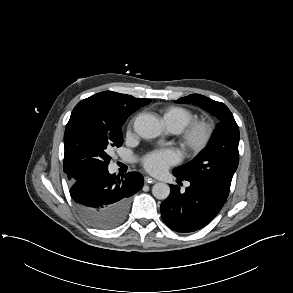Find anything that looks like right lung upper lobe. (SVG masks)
<instances>
[{
    "instance_id": "cb5924a9",
    "label": "right lung upper lobe",
    "mask_w": 293,
    "mask_h": 293,
    "mask_svg": "<svg viewBox=\"0 0 293 293\" xmlns=\"http://www.w3.org/2000/svg\"><path fill=\"white\" fill-rule=\"evenodd\" d=\"M98 95L106 98L111 103L122 106L124 108H132V109H138L141 106L147 105L150 99H141V98H135L130 95L120 94L112 91H104L98 93ZM135 110V111H136Z\"/></svg>"
}]
</instances>
